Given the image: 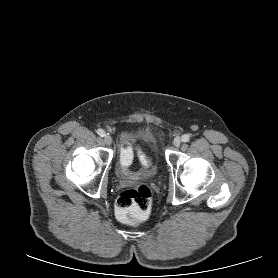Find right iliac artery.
<instances>
[{"label":"right iliac artery","mask_w":278,"mask_h":278,"mask_svg":"<svg viewBox=\"0 0 278 278\" xmlns=\"http://www.w3.org/2000/svg\"><path fill=\"white\" fill-rule=\"evenodd\" d=\"M97 134L101 137L105 136V131L103 129H98Z\"/></svg>","instance_id":"82829eb1"}]
</instances>
